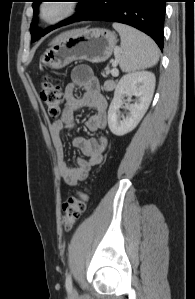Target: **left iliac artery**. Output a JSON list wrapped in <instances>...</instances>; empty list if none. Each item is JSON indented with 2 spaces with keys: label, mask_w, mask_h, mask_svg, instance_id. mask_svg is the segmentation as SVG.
Segmentation results:
<instances>
[{
  "label": "left iliac artery",
  "mask_w": 195,
  "mask_h": 299,
  "mask_svg": "<svg viewBox=\"0 0 195 299\" xmlns=\"http://www.w3.org/2000/svg\"><path fill=\"white\" fill-rule=\"evenodd\" d=\"M65 286H66L67 291L71 292V290H72V280H71L70 275H67V277H66Z\"/></svg>",
  "instance_id": "44dca946"
}]
</instances>
